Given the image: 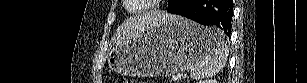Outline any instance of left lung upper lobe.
Wrapping results in <instances>:
<instances>
[{
	"label": "left lung upper lobe",
	"mask_w": 307,
	"mask_h": 83,
	"mask_svg": "<svg viewBox=\"0 0 307 83\" xmlns=\"http://www.w3.org/2000/svg\"><path fill=\"white\" fill-rule=\"evenodd\" d=\"M172 2V0H168V5Z\"/></svg>",
	"instance_id": "left-lung-upper-lobe-1"
}]
</instances>
